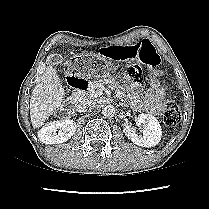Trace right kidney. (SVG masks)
Here are the masks:
<instances>
[{
    "mask_svg": "<svg viewBox=\"0 0 209 209\" xmlns=\"http://www.w3.org/2000/svg\"><path fill=\"white\" fill-rule=\"evenodd\" d=\"M76 131V123L65 119L53 121L43 126L39 132V140L44 144H59L68 141Z\"/></svg>",
    "mask_w": 209,
    "mask_h": 209,
    "instance_id": "1",
    "label": "right kidney"
}]
</instances>
